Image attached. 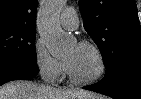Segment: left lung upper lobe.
I'll list each match as a JSON object with an SVG mask.
<instances>
[{
  "label": "left lung upper lobe",
  "instance_id": "1",
  "mask_svg": "<svg viewBox=\"0 0 141 99\" xmlns=\"http://www.w3.org/2000/svg\"><path fill=\"white\" fill-rule=\"evenodd\" d=\"M84 28L100 49L108 74L141 63V27L134 0H79Z\"/></svg>",
  "mask_w": 141,
  "mask_h": 99
}]
</instances>
